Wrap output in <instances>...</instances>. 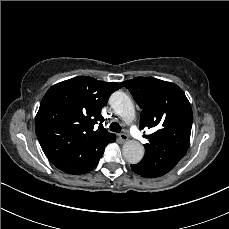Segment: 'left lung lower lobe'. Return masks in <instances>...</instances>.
<instances>
[{
  "label": "left lung lower lobe",
  "instance_id": "left-lung-lower-lobe-1",
  "mask_svg": "<svg viewBox=\"0 0 229 229\" xmlns=\"http://www.w3.org/2000/svg\"><path fill=\"white\" fill-rule=\"evenodd\" d=\"M131 168L135 173L141 175L142 177H146V178H155V177H157L152 173V171H150L146 167L140 165L139 163L131 165Z\"/></svg>",
  "mask_w": 229,
  "mask_h": 229
}]
</instances>
